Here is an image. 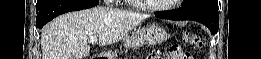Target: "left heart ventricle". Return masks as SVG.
<instances>
[{
  "label": "left heart ventricle",
  "mask_w": 261,
  "mask_h": 59,
  "mask_svg": "<svg viewBox=\"0 0 261 59\" xmlns=\"http://www.w3.org/2000/svg\"><path fill=\"white\" fill-rule=\"evenodd\" d=\"M173 0H152V1H147L148 4L151 5H156V6H163V5H168L172 3Z\"/></svg>",
  "instance_id": "left-heart-ventricle-1"
}]
</instances>
